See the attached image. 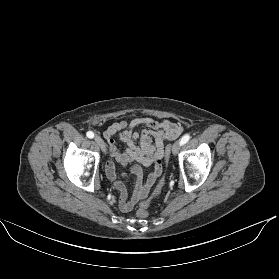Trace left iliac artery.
<instances>
[{"mask_svg":"<svg viewBox=\"0 0 279 279\" xmlns=\"http://www.w3.org/2000/svg\"><path fill=\"white\" fill-rule=\"evenodd\" d=\"M189 139H190V135H189V134H185V135L181 138V141H180L181 145L186 144V143L189 141Z\"/></svg>","mask_w":279,"mask_h":279,"instance_id":"obj_1","label":"left iliac artery"}]
</instances>
